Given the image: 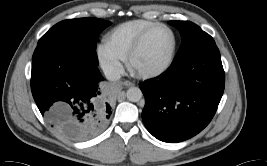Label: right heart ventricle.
<instances>
[{
    "instance_id": "obj_1",
    "label": "right heart ventricle",
    "mask_w": 267,
    "mask_h": 166,
    "mask_svg": "<svg viewBox=\"0 0 267 166\" xmlns=\"http://www.w3.org/2000/svg\"><path fill=\"white\" fill-rule=\"evenodd\" d=\"M155 24L157 23L145 19L120 24L108 34V44L122 59H125L137 39Z\"/></svg>"
}]
</instances>
